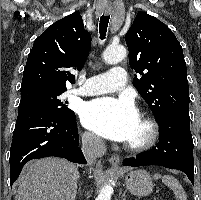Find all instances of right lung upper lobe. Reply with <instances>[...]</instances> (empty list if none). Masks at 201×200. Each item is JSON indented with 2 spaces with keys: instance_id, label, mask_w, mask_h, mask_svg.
Wrapping results in <instances>:
<instances>
[{
  "instance_id": "right-lung-upper-lobe-1",
  "label": "right lung upper lobe",
  "mask_w": 201,
  "mask_h": 200,
  "mask_svg": "<svg viewBox=\"0 0 201 200\" xmlns=\"http://www.w3.org/2000/svg\"><path fill=\"white\" fill-rule=\"evenodd\" d=\"M91 47L78 11L53 23L35 41L23 72L21 93L66 91L75 77L68 70L80 69Z\"/></svg>"
}]
</instances>
